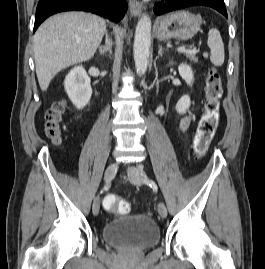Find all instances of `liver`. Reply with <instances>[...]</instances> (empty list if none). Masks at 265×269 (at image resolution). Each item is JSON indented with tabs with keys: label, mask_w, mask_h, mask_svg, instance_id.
Listing matches in <instances>:
<instances>
[{
	"label": "liver",
	"mask_w": 265,
	"mask_h": 269,
	"mask_svg": "<svg viewBox=\"0 0 265 269\" xmlns=\"http://www.w3.org/2000/svg\"><path fill=\"white\" fill-rule=\"evenodd\" d=\"M105 32L104 19L85 12L57 14L42 23L33 44L41 90L64 68L92 58Z\"/></svg>",
	"instance_id": "liver-1"
}]
</instances>
